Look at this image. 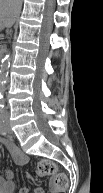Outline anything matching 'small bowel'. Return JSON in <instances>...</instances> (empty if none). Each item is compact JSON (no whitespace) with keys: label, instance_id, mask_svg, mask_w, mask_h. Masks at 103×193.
<instances>
[{"label":"small bowel","instance_id":"small-bowel-1","mask_svg":"<svg viewBox=\"0 0 103 193\" xmlns=\"http://www.w3.org/2000/svg\"><path fill=\"white\" fill-rule=\"evenodd\" d=\"M6 146L10 151L14 161L20 165L28 162V157L18 147L11 142H6ZM14 172L11 169L5 170L4 176L0 179V192L1 193H14L15 185L13 182ZM50 193H60V190L55 186L54 182L50 183ZM18 193H45L43 189L37 188L31 190L29 188H23Z\"/></svg>","mask_w":103,"mask_h":193}]
</instances>
